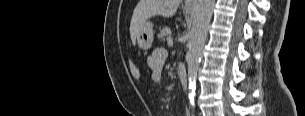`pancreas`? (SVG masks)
<instances>
[{
  "label": "pancreas",
  "mask_w": 305,
  "mask_h": 116,
  "mask_svg": "<svg viewBox=\"0 0 305 116\" xmlns=\"http://www.w3.org/2000/svg\"><path fill=\"white\" fill-rule=\"evenodd\" d=\"M172 32L169 27H163L160 33L157 35L159 40L162 41H168V39L171 37Z\"/></svg>",
  "instance_id": "pancreas-1"
}]
</instances>
